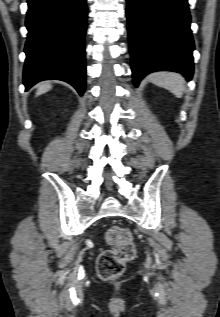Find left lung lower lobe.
Here are the masks:
<instances>
[{
  "instance_id": "1",
  "label": "left lung lower lobe",
  "mask_w": 220,
  "mask_h": 317,
  "mask_svg": "<svg viewBox=\"0 0 220 317\" xmlns=\"http://www.w3.org/2000/svg\"><path fill=\"white\" fill-rule=\"evenodd\" d=\"M127 19L135 86L158 70L192 78L194 42L187 0H127Z\"/></svg>"
}]
</instances>
